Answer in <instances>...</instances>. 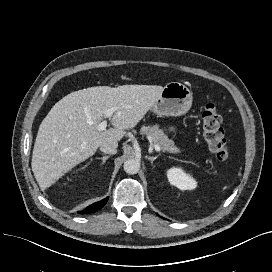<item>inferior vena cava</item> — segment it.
<instances>
[{
	"mask_svg": "<svg viewBox=\"0 0 272 272\" xmlns=\"http://www.w3.org/2000/svg\"><path fill=\"white\" fill-rule=\"evenodd\" d=\"M118 144L115 142H107L100 146V150L105 154H116Z\"/></svg>",
	"mask_w": 272,
	"mask_h": 272,
	"instance_id": "obj_1",
	"label": "inferior vena cava"
}]
</instances>
